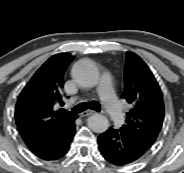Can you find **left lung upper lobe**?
Here are the masks:
<instances>
[{
    "label": "left lung upper lobe",
    "instance_id": "obj_1",
    "mask_svg": "<svg viewBox=\"0 0 184 173\" xmlns=\"http://www.w3.org/2000/svg\"><path fill=\"white\" fill-rule=\"evenodd\" d=\"M124 76L122 98L133 108L127 113L126 124L121 129L148 150L155 142L164 119L162 93L150 69L135 53L127 52Z\"/></svg>",
    "mask_w": 184,
    "mask_h": 173
}]
</instances>
